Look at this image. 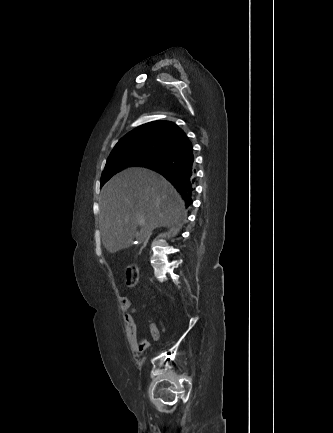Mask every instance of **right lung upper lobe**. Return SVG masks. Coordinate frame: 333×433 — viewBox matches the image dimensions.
Segmentation results:
<instances>
[{
	"instance_id": "1",
	"label": "right lung upper lobe",
	"mask_w": 333,
	"mask_h": 433,
	"mask_svg": "<svg viewBox=\"0 0 333 433\" xmlns=\"http://www.w3.org/2000/svg\"><path fill=\"white\" fill-rule=\"evenodd\" d=\"M189 142L185 132L170 121H153L143 124L125 135L114 149L130 146L160 147L170 153Z\"/></svg>"
}]
</instances>
